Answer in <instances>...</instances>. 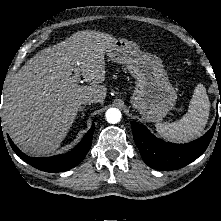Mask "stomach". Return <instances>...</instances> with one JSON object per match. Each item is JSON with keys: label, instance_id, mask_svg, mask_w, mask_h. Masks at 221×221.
Returning a JSON list of instances; mask_svg holds the SVG:
<instances>
[{"label": "stomach", "instance_id": "1", "mask_svg": "<svg viewBox=\"0 0 221 221\" xmlns=\"http://www.w3.org/2000/svg\"><path fill=\"white\" fill-rule=\"evenodd\" d=\"M107 56L114 63L124 64L136 79L131 104L145 120L161 121L174 108L177 94L159 57L126 39L116 40Z\"/></svg>", "mask_w": 221, "mask_h": 221}]
</instances>
